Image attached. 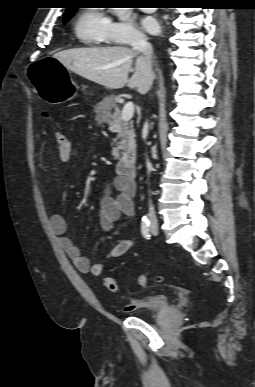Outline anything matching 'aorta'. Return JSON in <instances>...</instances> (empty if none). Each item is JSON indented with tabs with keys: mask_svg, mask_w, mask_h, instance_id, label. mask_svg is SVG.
<instances>
[{
	"mask_svg": "<svg viewBox=\"0 0 255 387\" xmlns=\"http://www.w3.org/2000/svg\"><path fill=\"white\" fill-rule=\"evenodd\" d=\"M112 13L116 15L120 20H125L129 15V8H111Z\"/></svg>",
	"mask_w": 255,
	"mask_h": 387,
	"instance_id": "1",
	"label": "aorta"
}]
</instances>
